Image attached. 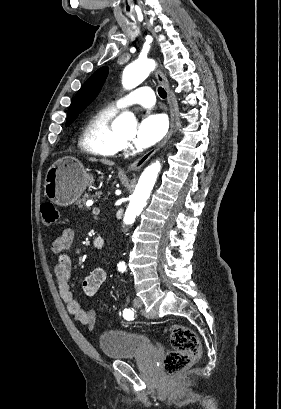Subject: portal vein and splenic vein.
Listing matches in <instances>:
<instances>
[{
  "mask_svg": "<svg viewBox=\"0 0 281 409\" xmlns=\"http://www.w3.org/2000/svg\"><path fill=\"white\" fill-rule=\"evenodd\" d=\"M101 212V207L100 206H95L94 211H93V216L94 217H99Z\"/></svg>",
  "mask_w": 281,
  "mask_h": 409,
  "instance_id": "obj_1",
  "label": "portal vein and splenic vein"
}]
</instances>
